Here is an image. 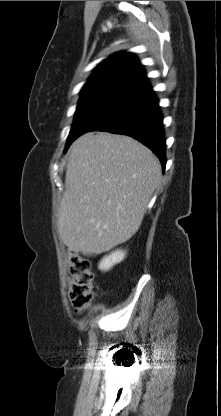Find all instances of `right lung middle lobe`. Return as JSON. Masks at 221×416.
<instances>
[{
    "label": "right lung middle lobe",
    "mask_w": 221,
    "mask_h": 416,
    "mask_svg": "<svg viewBox=\"0 0 221 416\" xmlns=\"http://www.w3.org/2000/svg\"><path fill=\"white\" fill-rule=\"evenodd\" d=\"M125 98L114 94L81 97L65 151L78 136L94 129Z\"/></svg>",
    "instance_id": "right-lung-middle-lobe-1"
}]
</instances>
